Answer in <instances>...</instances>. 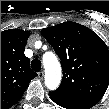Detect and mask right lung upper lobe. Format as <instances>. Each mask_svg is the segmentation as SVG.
Listing matches in <instances>:
<instances>
[{
    "instance_id": "1",
    "label": "right lung upper lobe",
    "mask_w": 109,
    "mask_h": 109,
    "mask_svg": "<svg viewBox=\"0 0 109 109\" xmlns=\"http://www.w3.org/2000/svg\"><path fill=\"white\" fill-rule=\"evenodd\" d=\"M29 34L19 29L1 32V109L18 102L30 80L37 76L24 54Z\"/></svg>"
}]
</instances>
